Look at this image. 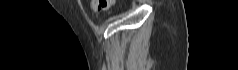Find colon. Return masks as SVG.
Listing matches in <instances>:
<instances>
[{
	"mask_svg": "<svg viewBox=\"0 0 238 70\" xmlns=\"http://www.w3.org/2000/svg\"><path fill=\"white\" fill-rule=\"evenodd\" d=\"M114 2V0H95L93 1V6L98 12H100L106 10Z\"/></svg>",
	"mask_w": 238,
	"mask_h": 70,
	"instance_id": "1",
	"label": "colon"
}]
</instances>
